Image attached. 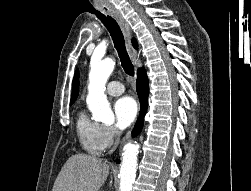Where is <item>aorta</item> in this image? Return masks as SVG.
Returning a JSON list of instances; mask_svg holds the SVG:
<instances>
[{"instance_id":"aorta-1","label":"aorta","mask_w":251,"mask_h":191,"mask_svg":"<svg viewBox=\"0 0 251 191\" xmlns=\"http://www.w3.org/2000/svg\"><path fill=\"white\" fill-rule=\"evenodd\" d=\"M88 96L86 101L95 121H109L114 119L110 103L104 94L105 84L114 70L115 62L111 58L101 60L93 54L90 62ZM139 145L127 143L124 147L123 159L120 167V191H130L136 177L137 151Z\"/></svg>"}]
</instances>
